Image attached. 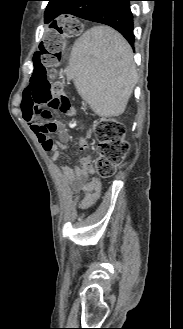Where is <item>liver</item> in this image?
Returning <instances> with one entry per match:
<instances>
[{"instance_id": "liver-1", "label": "liver", "mask_w": 183, "mask_h": 329, "mask_svg": "<svg viewBox=\"0 0 183 329\" xmlns=\"http://www.w3.org/2000/svg\"><path fill=\"white\" fill-rule=\"evenodd\" d=\"M69 74L79 95L102 117L121 115L137 82L131 46L103 25L92 27L75 41Z\"/></svg>"}]
</instances>
